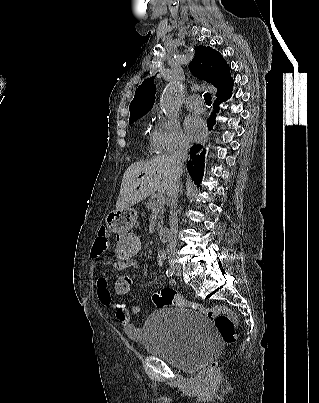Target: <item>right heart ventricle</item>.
Returning a JSON list of instances; mask_svg holds the SVG:
<instances>
[{
	"label": "right heart ventricle",
	"mask_w": 319,
	"mask_h": 403,
	"mask_svg": "<svg viewBox=\"0 0 319 403\" xmlns=\"http://www.w3.org/2000/svg\"><path fill=\"white\" fill-rule=\"evenodd\" d=\"M150 151H151V152L157 151V150L155 149L154 144H153L152 141H151V145H150Z\"/></svg>",
	"instance_id": "e07e8e85"
}]
</instances>
